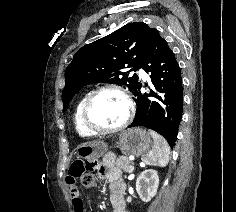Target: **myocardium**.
I'll return each instance as SVG.
<instances>
[{
  "instance_id": "myocardium-1",
  "label": "myocardium",
  "mask_w": 236,
  "mask_h": 212,
  "mask_svg": "<svg viewBox=\"0 0 236 212\" xmlns=\"http://www.w3.org/2000/svg\"><path fill=\"white\" fill-rule=\"evenodd\" d=\"M109 90L115 91L123 97V99L127 105L126 118L117 127L99 128V127H96L90 120L91 105L93 103V100L95 99V97L98 94H100L101 92H104V91H109ZM134 113H135L134 102H133L130 94L123 87H121L119 85L105 84L103 86L96 88L95 90H93L92 92H90L87 95V97L84 101V104H83V108H82V122H83V125L85 126V128L93 134H102V135L114 134V133H118V132L123 131L124 129H126L130 125V123L133 120Z\"/></svg>"
}]
</instances>
